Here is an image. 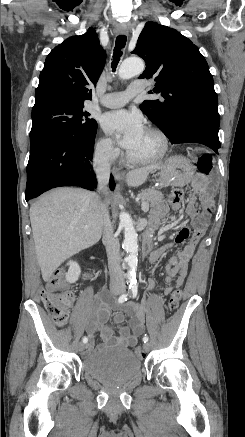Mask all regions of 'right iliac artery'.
<instances>
[{
	"mask_svg": "<svg viewBox=\"0 0 245 437\" xmlns=\"http://www.w3.org/2000/svg\"><path fill=\"white\" fill-rule=\"evenodd\" d=\"M127 296H128L127 293L122 294V295L119 297L118 302H119V303H123V302H125V301L127 300ZM82 341H83V343H87V342H88V338H87V337H84V338L82 339Z\"/></svg>",
	"mask_w": 245,
	"mask_h": 437,
	"instance_id": "1",
	"label": "right iliac artery"
}]
</instances>
